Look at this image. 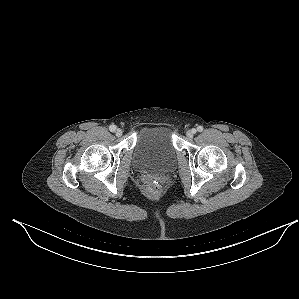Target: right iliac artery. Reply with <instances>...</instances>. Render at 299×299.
Wrapping results in <instances>:
<instances>
[{"label":"right iliac artery","mask_w":299,"mask_h":299,"mask_svg":"<svg viewBox=\"0 0 299 299\" xmlns=\"http://www.w3.org/2000/svg\"><path fill=\"white\" fill-rule=\"evenodd\" d=\"M109 130H110L111 132H114V131L116 130V126H115L114 124L110 125V126H109Z\"/></svg>","instance_id":"1"}]
</instances>
